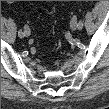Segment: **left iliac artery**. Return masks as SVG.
Listing matches in <instances>:
<instances>
[{
    "label": "left iliac artery",
    "instance_id": "44dca946",
    "mask_svg": "<svg viewBox=\"0 0 109 109\" xmlns=\"http://www.w3.org/2000/svg\"><path fill=\"white\" fill-rule=\"evenodd\" d=\"M83 28V21L80 20L78 23V29H82Z\"/></svg>",
    "mask_w": 109,
    "mask_h": 109
}]
</instances>
